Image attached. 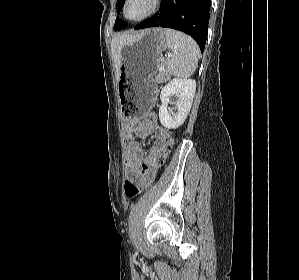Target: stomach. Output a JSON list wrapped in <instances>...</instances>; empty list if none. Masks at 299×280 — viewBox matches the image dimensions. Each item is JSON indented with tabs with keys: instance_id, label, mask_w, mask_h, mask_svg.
Listing matches in <instances>:
<instances>
[{
	"instance_id": "stomach-1",
	"label": "stomach",
	"mask_w": 299,
	"mask_h": 280,
	"mask_svg": "<svg viewBox=\"0 0 299 280\" xmlns=\"http://www.w3.org/2000/svg\"><path fill=\"white\" fill-rule=\"evenodd\" d=\"M167 47L161 28L143 30L123 46L118 93L124 116L143 117L150 111L157 90L153 76Z\"/></svg>"
}]
</instances>
